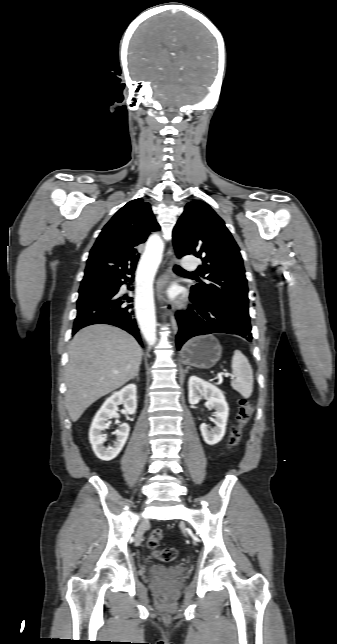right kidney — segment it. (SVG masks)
Segmentation results:
<instances>
[{
  "instance_id": "ca27d5eb",
  "label": "right kidney",
  "mask_w": 337,
  "mask_h": 644,
  "mask_svg": "<svg viewBox=\"0 0 337 644\" xmlns=\"http://www.w3.org/2000/svg\"><path fill=\"white\" fill-rule=\"evenodd\" d=\"M137 387L129 384L118 392H114L103 403L96 413L89 430V440L95 455L103 460L110 461L118 456L123 449L130 432L127 423H122L116 431V441L112 446L104 447L105 437L102 431L109 426V419L118 418V405L123 404L127 414H134L137 409Z\"/></svg>"
}]
</instances>
